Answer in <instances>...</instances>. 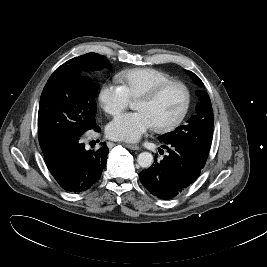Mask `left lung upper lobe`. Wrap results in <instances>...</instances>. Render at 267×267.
Segmentation results:
<instances>
[{"instance_id":"left-lung-upper-lobe-1","label":"left lung upper lobe","mask_w":267,"mask_h":267,"mask_svg":"<svg viewBox=\"0 0 267 267\" xmlns=\"http://www.w3.org/2000/svg\"><path fill=\"white\" fill-rule=\"evenodd\" d=\"M194 83L202 87L204 84L193 72L187 71ZM199 102L197 113L185 125L177 127L173 132L160 136L159 141L164 143H179L189 145L203 157H208L211 147L214 126L213 110L210 97L204 91H196Z\"/></svg>"}]
</instances>
